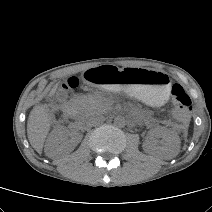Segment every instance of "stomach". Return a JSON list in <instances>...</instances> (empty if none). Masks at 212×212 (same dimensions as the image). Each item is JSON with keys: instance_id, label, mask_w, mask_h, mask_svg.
I'll return each instance as SVG.
<instances>
[{"instance_id": "1", "label": "stomach", "mask_w": 212, "mask_h": 212, "mask_svg": "<svg viewBox=\"0 0 212 212\" xmlns=\"http://www.w3.org/2000/svg\"><path fill=\"white\" fill-rule=\"evenodd\" d=\"M81 78L85 84L97 83L113 90H121L155 106L165 103L171 87L169 77L162 72L117 64L90 67Z\"/></svg>"}]
</instances>
